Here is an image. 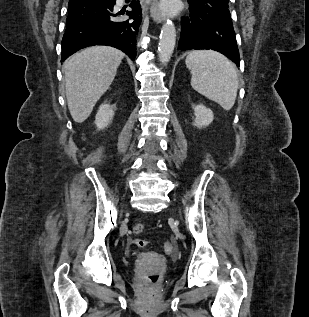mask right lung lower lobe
Instances as JSON below:
<instances>
[{
    "label": "right lung lower lobe",
    "mask_w": 309,
    "mask_h": 317,
    "mask_svg": "<svg viewBox=\"0 0 309 317\" xmlns=\"http://www.w3.org/2000/svg\"><path fill=\"white\" fill-rule=\"evenodd\" d=\"M116 0H70L66 31L62 39V59L92 45H108L122 50L131 59L136 55V36L142 20L138 1L131 10L117 11Z\"/></svg>",
    "instance_id": "98d812e1"
}]
</instances>
